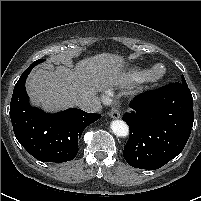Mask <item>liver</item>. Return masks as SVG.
Wrapping results in <instances>:
<instances>
[{
	"instance_id": "1",
	"label": "liver",
	"mask_w": 201,
	"mask_h": 201,
	"mask_svg": "<svg viewBox=\"0 0 201 201\" xmlns=\"http://www.w3.org/2000/svg\"><path fill=\"white\" fill-rule=\"evenodd\" d=\"M123 57L101 53L79 61L75 70L51 65L35 69L26 82L31 101L47 112H55L75 105L78 97L94 96L122 80Z\"/></svg>"
}]
</instances>
